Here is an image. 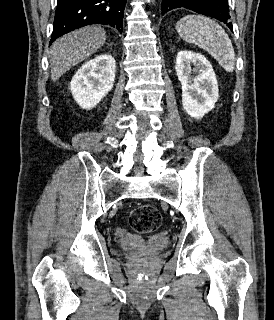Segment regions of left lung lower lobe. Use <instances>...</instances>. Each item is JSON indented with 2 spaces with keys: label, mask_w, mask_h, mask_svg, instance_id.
<instances>
[{
  "label": "left lung lower lobe",
  "mask_w": 274,
  "mask_h": 320,
  "mask_svg": "<svg viewBox=\"0 0 274 320\" xmlns=\"http://www.w3.org/2000/svg\"><path fill=\"white\" fill-rule=\"evenodd\" d=\"M181 7L216 18L233 30L231 22H228L230 14L227 0H162V14Z\"/></svg>",
  "instance_id": "left-lung-lower-lobe-1"
}]
</instances>
